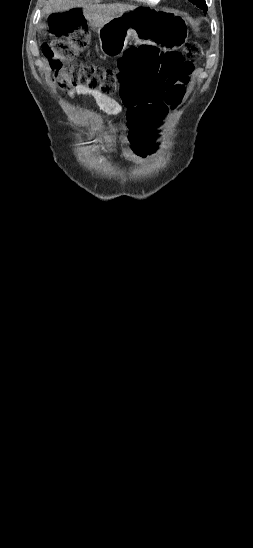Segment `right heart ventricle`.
Wrapping results in <instances>:
<instances>
[{"label":"right heart ventricle","mask_w":253,"mask_h":548,"mask_svg":"<svg viewBox=\"0 0 253 548\" xmlns=\"http://www.w3.org/2000/svg\"><path fill=\"white\" fill-rule=\"evenodd\" d=\"M136 1L149 4V5H155L159 3L160 0H136Z\"/></svg>","instance_id":"e07e8e85"}]
</instances>
